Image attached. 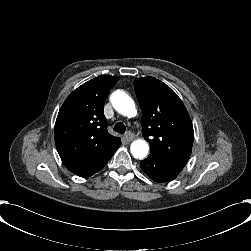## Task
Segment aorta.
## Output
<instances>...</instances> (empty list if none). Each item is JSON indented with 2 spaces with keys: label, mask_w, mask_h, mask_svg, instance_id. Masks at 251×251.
I'll return each mask as SVG.
<instances>
[{
  "label": "aorta",
  "mask_w": 251,
  "mask_h": 251,
  "mask_svg": "<svg viewBox=\"0 0 251 251\" xmlns=\"http://www.w3.org/2000/svg\"><path fill=\"white\" fill-rule=\"evenodd\" d=\"M111 103L114 109L124 116H132L135 112V104L128 94L121 90H116L111 94ZM131 154L136 159H144L149 151V145L144 140H135L130 146Z\"/></svg>",
  "instance_id": "762f6f07"
}]
</instances>
